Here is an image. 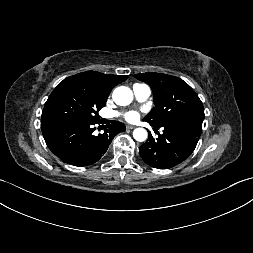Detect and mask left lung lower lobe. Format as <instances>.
<instances>
[{"label": "left lung lower lobe", "mask_w": 253, "mask_h": 253, "mask_svg": "<svg viewBox=\"0 0 253 253\" xmlns=\"http://www.w3.org/2000/svg\"><path fill=\"white\" fill-rule=\"evenodd\" d=\"M201 120L163 125V134L148 140L139 148L143 161L157 169H168L184 161L194 151L202 131ZM151 126H155L150 124ZM159 126H155L158 129Z\"/></svg>", "instance_id": "left-lung-lower-lobe-1"}]
</instances>
